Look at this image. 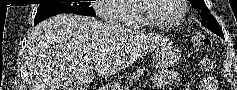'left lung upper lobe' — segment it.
Listing matches in <instances>:
<instances>
[{"label": "left lung upper lobe", "instance_id": "1", "mask_svg": "<svg viewBox=\"0 0 237 90\" xmlns=\"http://www.w3.org/2000/svg\"><path fill=\"white\" fill-rule=\"evenodd\" d=\"M191 5L201 11L202 25L210 31L224 38L222 29L215 18L211 15L209 9L203 0H189Z\"/></svg>", "mask_w": 237, "mask_h": 90}]
</instances>
